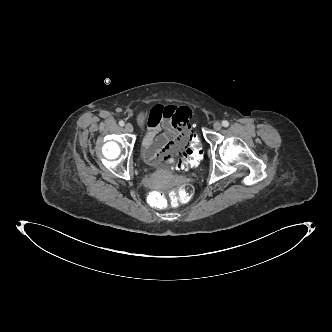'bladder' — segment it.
I'll use <instances>...</instances> for the list:
<instances>
[{"label":"bladder","instance_id":"bladder-1","mask_svg":"<svg viewBox=\"0 0 332 332\" xmlns=\"http://www.w3.org/2000/svg\"><path fill=\"white\" fill-rule=\"evenodd\" d=\"M143 159H144V162L149 166L160 167V165H161V163H159V162L150 161L149 159H147L145 154H143Z\"/></svg>","mask_w":332,"mask_h":332}]
</instances>
